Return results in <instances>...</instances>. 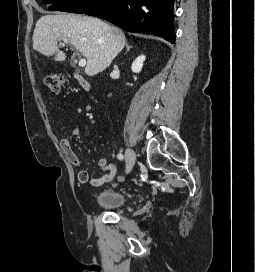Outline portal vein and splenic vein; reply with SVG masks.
I'll use <instances>...</instances> for the list:
<instances>
[{
  "label": "portal vein and splenic vein",
  "mask_w": 255,
  "mask_h": 272,
  "mask_svg": "<svg viewBox=\"0 0 255 272\" xmlns=\"http://www.w3.org/2000/svg\"><path fill=\"white\" fill-rule=\"evenodd\" d=\"M62 45H65V43H63ZM86 65V59L81 58V56L79 55V66L84 67Z\"/></svg>",
  "instance_id": "1"
}]
</instances>
